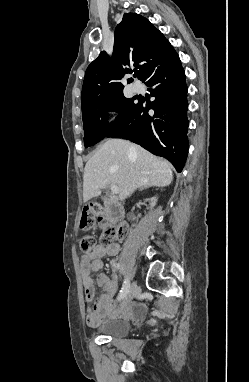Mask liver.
<instances>
[{
  "label": "liver",
  "instance_id": "obj_1",
  "mask_svg": "<svg viewBox=\"0 0 249 382\" xmlns=\"http://www.w3.org/2000/svg\"><path fill=\"white\" fill-rule=\"evenodd\" d=\"M173 180L170 163L144 148L122 139L106 140L87 161L83 175L84 202L114 184L123 201L144 185L165 187Z\"/></svg>",
  "mask_w": 249,
  "mask_h": 382
}]
</instances>
